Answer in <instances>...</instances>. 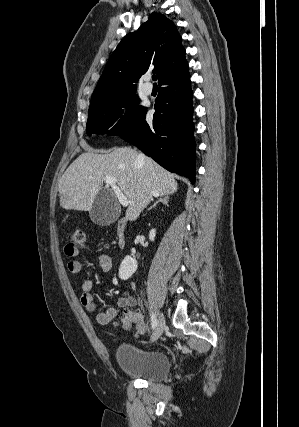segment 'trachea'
<instances>
[{"instance_id": "obj_1", "label": "trachea", "mask_w": 299, "mask_h": 427, "mask_svg": "<svg viewBox=\"0 0 299 427\" xmlns=\"http://www.w3.org/2000/svg\"><path fill=\"white\" fill-rule=\"evenodd\" d=\"M156 79H157V78H156V75H153V76H152V80H153V81H156Z\"/></svg>"}]
</instances>
